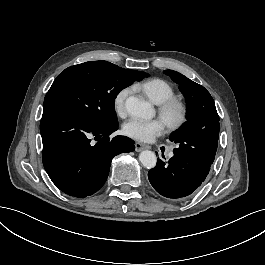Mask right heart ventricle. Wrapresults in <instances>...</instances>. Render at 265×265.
<instances>
[{
    "label": "right heart ventricle",
    "mask_w": 265,
    "mask_h": 265,
    "mask_svg": "<svg viewBox=\"0 0 265 265\" xmlns=\"http://www.w3.org/2000/svg\"><path fill=\"white\" fill-rule=\"evenodd\" d=\"M133 88L144 94L155 104H161L175 94L173 87L166 80L159 77L145 78L137 81L134 83Z\"/></svg>",
    "instance_id": "e07e8e85"
}]
</instances>
